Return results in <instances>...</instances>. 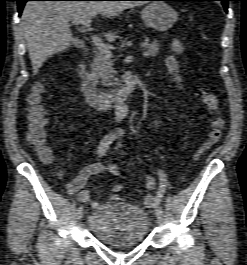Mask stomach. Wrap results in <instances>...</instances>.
I'll use <instances>...</instances> for the list:
<instances>
[{"instance_id":"0dacf381","label":"stomach","mask_w":247,"mask_h":265,"mask_svg":"<svg viewBox=\"0 0 247 265\" xmlns=\"http://www.w3.org/2000/svg\"><path fill=\"white\" fill-rule=\"evenodd\" d=\"M141 17L149 27L157 31H166L177 21L178 14L167 3L152 2L142 10Z\"/></svg>"}]
</instances>
